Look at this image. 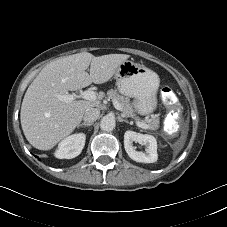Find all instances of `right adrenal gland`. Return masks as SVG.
I'll return each mask as SVG.
<instances>
[{
	"instance_id": "2a0ac1e0",
	"label": "right adrenal gland",
	"mask_w": 227,
	"mask_h": 227,
	"mask_svg": "<svg viewBox=\"0 0 227 227\" xmlns=\"http://www.w3.org/2000/svg\"><path fill=\"white\" fill-rule=\"evenodd\" d=\"M92 124L91 123H81V124H78V126H77V128H79V127H81V126H87V127H89V126H91Z\"/></svg>"
}]
</instances>
